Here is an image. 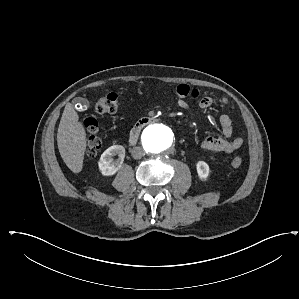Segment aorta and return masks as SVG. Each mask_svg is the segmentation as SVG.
I'll list each match as a JSON object with an SVG mask.
<instances>
[{"label": "aorta", "mask_w": 299, "mask_h": 299, "mask_svg": "<svg viewBox=\"0 0 299 299\" xmlns=\"http://www.w3.org/2000/svg\"><path fill=\"white\" fill-rule=\"evenodd\" d=\"M173 132L164 124H151L142 133V146L149 156H158L173 145Z\"/></svg>", "instance_id": "1"}]
</instances>
